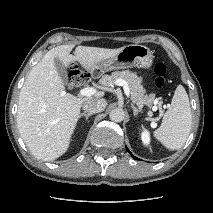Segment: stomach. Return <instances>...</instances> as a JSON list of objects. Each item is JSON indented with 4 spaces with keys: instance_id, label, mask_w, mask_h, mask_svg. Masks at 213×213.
<instances>
[{
    "instance_id": "1",
    "label": "stomach",
    "mask_w": 213,
    "mask_h": 213,
    "mask_svg": "<svg viewBox=\"0 0 213 213\" xmlns=\"http://www.w3.org/2000/svg\"><path fill=\"white\" fill-rule=\"evenodd\" d=\"M153 58L152 51L148 47L131 44L124 46L114 57L98 63L94 66L93 72L99 75L111 70L131 68L134 66L149 69L153 63Z\"/></svg>"
}]
</instances>
